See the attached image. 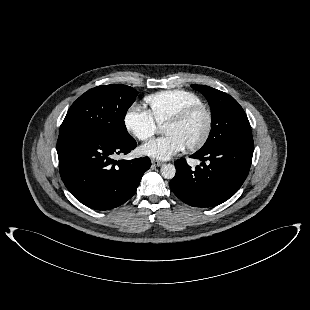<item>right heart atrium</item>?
Instances as JSON below:
<instances>
[{
  "mask_svg": "<svg viewBox=\"0 0 310 310\" xmlns=\"http://www.w3.org/2000/svg\"><path fill=\"white\" fill-rule=\"evenodd\" d=\"M123 123L125 129L140 141L151 138L157 131V124L151 115L137 104L128 107L124 114Z\"/></svg>",
  "mask_w": 310,
  "mask_h": 310,
  "instance_id": "1",
  "label": "right heart atrium"
}]
</instances>
